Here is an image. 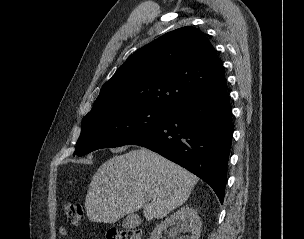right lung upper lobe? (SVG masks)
<instances>
[{
  "instance_id": "cb5924a9",
  "label": "right lung upper lobe",
  "mask_w": 304,
  "mask_h": 239,
  "mask_svg": "<svg viewBox=\"0 0 304 239\" xmlns=\"http://www.w3.org/2000/svg\"><path fill=\"white\" fill-rule=\"evenodd\" d=\"M223 79L221 61L204 33L182 27L133 53L102 86L85 117L128 107L170 111Z\"/></svg>"
}]
</instances>
